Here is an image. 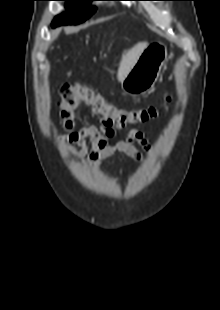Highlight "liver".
<instances>
[{
  "mask_svg": "<svg viewBox=\"0 0 220 310\" xmlns=\"http://www.w3.org/2000/svg\"><path fill=\"white\" fill-rule=\"evenodd\" d=\"M147 45V42H139L122 55L117 73V79L120 82H122L131 71Z\"/></svg>",
  "mask_w": 220,
  "mask_h": 310,
  "instance_id": "liver-1",
  "label": "liver"
}]
</instances>
